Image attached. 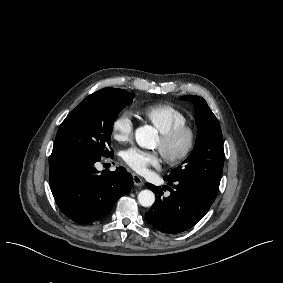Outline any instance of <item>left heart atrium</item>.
<instances>
[{
  "label": "left heart atrium",
  "mask_w": 283,
  "mask_h": 283,
  "mask_svg": "<svg viewBox=\"0 0 283 283\" xmlns=\"http://www.w3.org/2000/svg\"><path fill=\"white\" fill-rule=\"evenodd\" d=\"M161 152H149L138 148H129L123 151V160L135 171L142 172L150 165H156L159 162Z\"/></svg>",
  "instance_id": "1"
}]
</instances>
